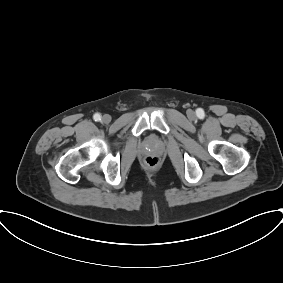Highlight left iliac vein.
<instances>
[{"instance_id": "left-iliac-vein-1", "label": "left iliac vein", "mask_w": 283, "mask_h": 283, "mask_svg": "<svg viewBox=\"0 0 283 283\" xmlns=\"http://www.w3.org/2000/svg\"><path fill=\"white\" fill-rule=\"evenodd\" d=\"M187 115H188V117H189L190 119H194V118L196 117L195 112L192 111V110H189L188 113H187Z\"/></svg>"}]
</instances>
